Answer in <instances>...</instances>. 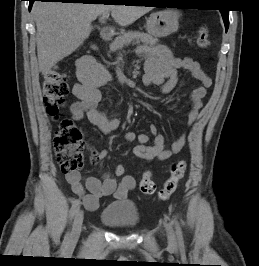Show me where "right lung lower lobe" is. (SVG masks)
Returning <instances> with one entry per match:
<instances>
[{"label": "right lung lower lobe", "instance_id": "98d812e1", "mask_svg": "<svg viewBox=\"0 0 259 266\" xmlns=\"http://www.w3.org/2000/svg\"><path fill=\"white\" fill-rule=\"evenodd\" d=\"M29 3V10H31V7L34 3V1H42V2H62V3H67V2H76L79 1L81 3L87 4V3H118V2H105L106 0H28Z\"/></svg>", "mask_w": 259, "mask_h": 266}]
</instances>
